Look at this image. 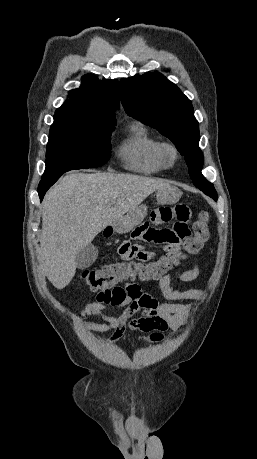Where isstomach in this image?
Here are the masks:
<instances>
[{
  "label": "stomach",
  "mask_w": 257,
  "mask_h": 459,
  "mask_svg": "<svg viewBox=\"0 0 257 459\" xmlns=\"http://www.w3.org/2000/svg\"><path fill=\"white\" fill-rule=\"evenodd\" d=\"M181 194L177 187L170 185L159 189L156 193V199L158 204H174L176 200H179ZM147 209L148 207L145 204H141L128 211L126 215L121 216L111 224L113 231L118 234L130 232L133 227L142 223L147 215Z\"/></svg>",
  "instance_id": "0dacf381"
}]
</instances>
